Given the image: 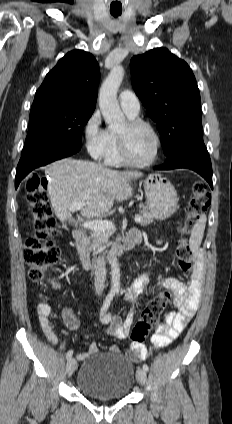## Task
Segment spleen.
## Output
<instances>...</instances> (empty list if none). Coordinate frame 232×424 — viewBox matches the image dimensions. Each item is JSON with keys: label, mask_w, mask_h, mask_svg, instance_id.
Here are the masks:
<instances>
[{"label": "spleen", "mask_w": 232, "mask_h": 424, "mask_svg": "<svg viewBox=\"0 0 232 424\" xmlns=\"http://www.w3.org/2000/svg\"><path fill=\"white\" fill-rule=\"evenodd\" d=\"M206 215H201L200 218L196 221L195 225L193 226L192 232H191V237L189 240V246L190 249L192 251H196L198 250L203 235H204V230H205V226H206Z\"/></svg>", "instance_id": "1"}]
</instances>
